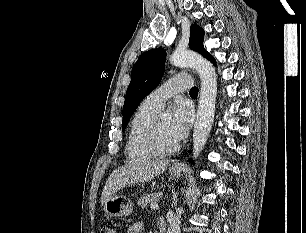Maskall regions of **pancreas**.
<instances>
[{
  "label": "pancreas",
  "mask_w": 306,
  "mask_h": 233,
  "mask_svg": "<svg viewBox=\"0 0 306 233\" xmlns=\"http://www.w3.org/2000/svg\"><path fill=\"white\" fill-rule=\"evenodd\" d=\"M161 194L160 193H150L145 196H142L138 200V205L141 206L142 208H146L148 204L156 203L158 201V198Z\"/></svg>",
  "instance_id": "pancreas-1"
}]
</instances>
